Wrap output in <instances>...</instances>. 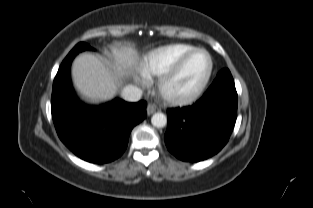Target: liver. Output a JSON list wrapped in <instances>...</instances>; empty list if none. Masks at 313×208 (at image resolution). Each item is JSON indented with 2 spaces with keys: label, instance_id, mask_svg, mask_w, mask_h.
I'll use <instances>...</instances> for the list:
<instances>
[{
  "label": "liver",
  "instance_id": "1",
  "mask_svg": "<svg viewBox=\"0 0 313 208\" xmlns=\"http://www.w3.org/2000/svg\"><path fill=\"white\" fill-rule=\"evenodd\" d=\"M114 71H111L101 58L90 54L78 55L72 64L74 84L79 92L90 102L112 99L122 79L137 69L139 55L132 47L112 48Z\"/></svg>",
  "mask_w": 313,
  "mask_h": 208
}]
</instances>
